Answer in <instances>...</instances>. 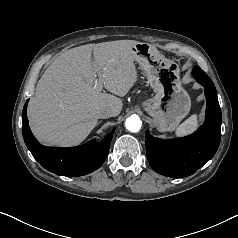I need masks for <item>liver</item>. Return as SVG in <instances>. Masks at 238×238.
<instances>
[{"label":"liver","instance_id":"6515ba94","mask_svg":"<svg viewBox=\"0 0 238 238\" xmlns=\"http://www.w3.org/2000/svg\"><path fill=\"white\" fill-rule=\"evenodd\" d=\"M137 43L117 40L87 44L54 59L28 105L35 137L46 145H77L97 125L101 108H111L112 116H118L123 103L115 95L125 96L137 82L132 51ZM97 77L112 94L96 88Z\"/></svg>","mask_w":238,"mask_h":238}]
</instances>
